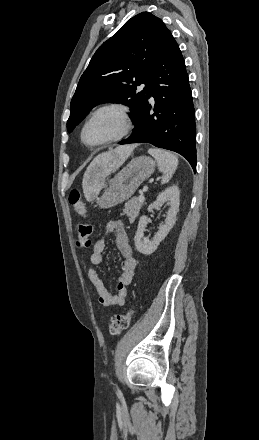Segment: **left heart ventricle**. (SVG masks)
I'll return each mask as SVG.
<instances>
[{
    "label": "left heart ventricle",
    "mask_w": 259,
    "mask_h": 440,
    "mask_svg": "<svg viewBox=\"0 0 259 440\" xmlns=\"http://www.w3.org/2000/svg\"><path fill=\"white\" fill-rule=\"evenodd\" d=\"M121 129L120 119L113 111H105L97 115L86 127L84 139L95 144L116 136Z\"/></svg>",
    "instance_id": "left-heart-ventricle-1"
}]
</instances>
